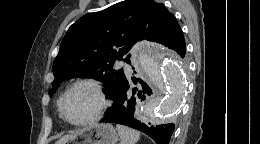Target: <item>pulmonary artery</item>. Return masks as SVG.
<instances>
[{"label": "pulmonary artery", "instance_id": "pulmonary-artery-1", "mask_svg": "<svg viewBox=\"0 0 260 144\" xmlns=\"http://www.w3.org/2000/svg\"><path fill=\"white\" fill-rule=\"evenodd\" d=\"M117 65H118L119 67L125 68L126 71H129V67H128L127 65H125L122 61H119V62L117 63Z\"/></svg>", "mask_w": 260, "mask_h": 144}]
</instances>
